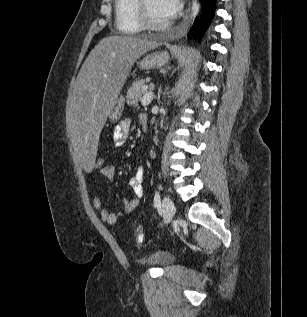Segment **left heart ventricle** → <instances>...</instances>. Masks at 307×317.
Masks as SVG:
<instances>
[{
    "label": "left heart ventricle",
    "instance_id": "1",
    "mask_svg": "<svg viewBox=\"0 0 307 317\" xmlns=\"http://www.w3.org/2000/svg\"><path fill=\"white\" fill-rule=\"evenodd\" d=\"M146 6L151 18L155 22L164 23L168 20V17L161 12L158 0H146Z\"/></svg>",
    "mask_w": 307,
    "mask_h": 317
}]
</instances>
